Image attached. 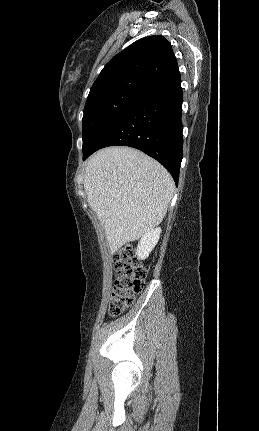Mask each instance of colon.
I'll use <instances>...</instances> for the list:
<instances>
[{
  "label": "colon",
  "instance_id": "colon-1",
  "mask_svg": "<svg viewBox=\"0 0 259 431\" xmlns=\"http://www.w3.org/2000/svg\"><path fill=\"white\" fill-rule=\"evenodd\" d=\"M115 281L109 302V314L118 316L130 307L145 285L146 269L134 247L126 244L113 255Z\"/></svg>",
  "mask_w": 259,
  "mask_h": 431
}]
</instances>
